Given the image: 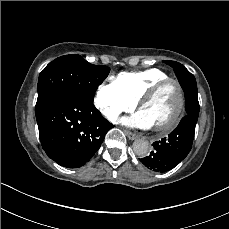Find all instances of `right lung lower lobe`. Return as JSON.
<instances>
[{"label": "right lung lower lobe", "mask_w": 229, "mask_h": 229, "mask_svg": "<svg viewBox=\"0 0 229 229\" xmlns=\"http://www.w3.org/2000/svg\"><path fill=\"white\" fill-rule=\"evenodd\" d=\"M36 119L42 148L61 166L77 168L88 162L113 127L93 101L73 92H62L48 100Z\"/></svg>", "instance_id": "right-lung-lower-lobe-1"}]
</instances>
